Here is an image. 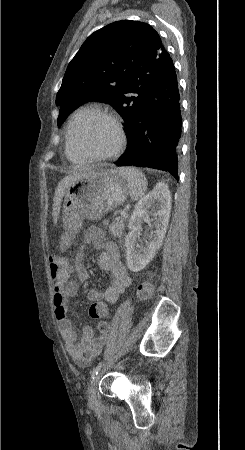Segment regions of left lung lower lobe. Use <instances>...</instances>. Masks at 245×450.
<instances>
[{
    "label": "left lung lower lobe",
    "instance_id": "obj_1",
    "mask_svg": "<svg viewBox=\"0 0 245 450\" xmlns=\"http://www.w3.org/2000/svg\"><path fill=\"white\" fill-rule=\"evenodd\" d=\"M181 108L172 59L153 84L128 138L127 150L117 166H139L168 171L178 180Z\"/></svg>",
    "mask_w": 245,
    "mask_h": 450
}]
</instances>
